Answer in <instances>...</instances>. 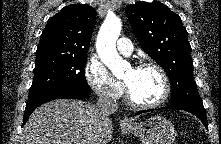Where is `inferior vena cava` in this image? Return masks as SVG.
I'll use <instances>...</instances> for the list:
<instances>
[{"label":"inferior vena cava","instance_id":"602c4592","mask_svg":"<svg viewBox=\"0 0 221 144\" xmlns=\"http://www.w3.org/2000/svg\"><path fill=\"white\" fill-rule=\"evenodd\" d=\"M97 108L100 114L105 117L117 111V105L107 95H101L97 101Z\"/></svg>","mask_w":221,"mask_h":144}]
</instances>
